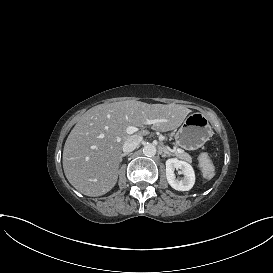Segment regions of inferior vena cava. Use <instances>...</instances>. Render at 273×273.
I'll use <instances>...</instances> for the list:
<instances>
[{"label":"inferior vena cava","mask_w":273,"mask_h":273,"mask_svg":"<svg viewBox=\"0 0 273 273\" xmlns=\"http://www.w3.org/2000/svg\"><path fill=\"white\" fill-rule=\"evenodd\" d=\"M143 140L142 136H133L129 138L125 143L123 144L122 151L124 153H128L133 151Z\"/></svg>","instance_id":"inferior-vena-cava-1"}]
</instances>
